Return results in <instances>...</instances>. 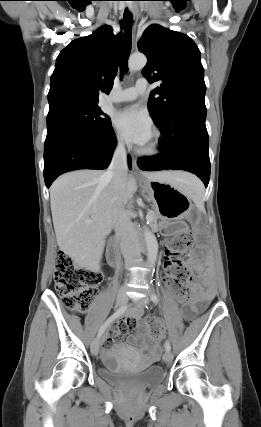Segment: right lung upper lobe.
<instances>
[{"label": "right lung upper lobe", "instance_id": "1", "mask_svg": "<svg viewBox=\"0 0 261 427\" xmlns=\"http://www.w3.org/2000/svg\"><path fill=\"white\" fill-rule=\"evenodd\" d=\"M121 34L105 25L72 41L56 59L48 93L49 109L68 104H98V92L108 93L118 70Z\"/></svg>", "mask_w": 261, "mask_h": 427}]
</instances>
